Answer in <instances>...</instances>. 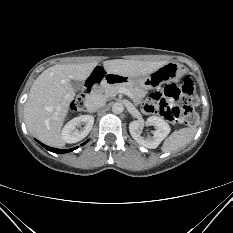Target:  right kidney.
Instances as JSON below:
<instances>
[{"label":"right kidney","instance_id":"obj_1","mask_svg":"<svg viewBox=\"0 0 233 233\" xmlns=\"http://www.w3.org/2000/svg\"><path fill=\"white\" fill-rule=\"evenodd\" d=\"M94 124V117L91 115H81L70 120L63 128L61 137L66 143H76L84 139L91 131ZM81 125L84 127L77 129Z\"/></svg>","mask_w":233,"mask_h":233}]
</instances>
